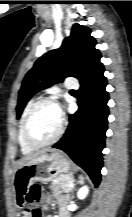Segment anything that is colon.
<instances>
[{"instance_id": "obj_1", "label": "colon", "mask_w": 132, "mask_h": 217, "mask_svg": "<svg viewBox=\"0 0 132 217\" xmlns=\"http://www.w3.org/2000/svg\"><path fill=\"white\" fill-rule=\"evenodd\" d=\"M41 197V189L39 185H33L26 191L25 200L27 204L31 207V217H41V211L37 207Z\"/></svg>"}]
</instances>
